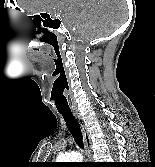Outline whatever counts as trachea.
Segmentation results:
<instances>
[{
	"instance_id": "obj_1",
	"label": "trachea",
	"mask_w": 155,
	"mask_h": 167,
	"mask_svg": "<svg viewBox=\"0 0 155 167\" xmlns=\"http://www.w3.org/2000/svg\"><path fill=\"white\" fill-rule=\"evenodd\" d=\"M59 113L63 116L66 125L77 145L80 148H83V136L81 128L77 119L74 117L73 113L71 111H59Z\"/></svg>"
}]
</instances>
